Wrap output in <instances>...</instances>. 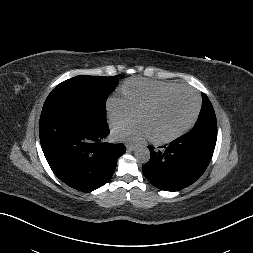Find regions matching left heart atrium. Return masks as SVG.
Masks as SVG:
<instances>
[{
    "label": "left heart atrium",
    "mask_w": 253,
    "mask_h": 253,
    "mask_svg": "<svg viewBox=\"0 0 253 253\" xmlns=\"http://www.w3.org/2000/svg\"><path fill=\"white\" fill-rule=\"evenodd\" d=\"M112 136L117 141L125 142H138L152 138L150 128L140 119L116 124L113 127Z\"/></svg>",
    "instance_id": "39dd6f15"
}]
</instances>
